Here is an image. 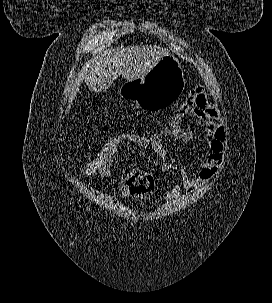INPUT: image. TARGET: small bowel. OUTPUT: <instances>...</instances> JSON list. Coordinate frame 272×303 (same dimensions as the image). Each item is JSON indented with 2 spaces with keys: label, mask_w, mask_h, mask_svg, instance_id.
Masks as SVG:
<instances>
[{
  "label": "small bowel",
  "mask_w": 272,
  "mask_h": 303,
  "mask_svg": "<svg viewBox=\"0 0 272 303\" xmlns=\"http://www.w3.org/2000/svg\"><path fill=\"white\" fill-rule=\"evenodd\" d=\"M186 115L195 118L197 124L204 130V156L203 160L192 172H188L183 168H176L180 181H175L171 190L165 195V199L168 201L175 200L182 188L187 192H192L213 178L225 156L226 129L222 124L217 108L210 103L202 88L192 90L171 119L174 128L170 136L185 143L193 138V132L183 128L181 125V120ZM135 146L155 154L161 160L160 169L162 171L174 168L168 160V150L162 141L149 142L142 139ZM140 174L141 171L139 170L123 174H118L113 170L100 177L115 179L120 191L125 195H131L139 181Z\"/></svg>",
  "instance_id": "small-bowel-1"
}]
</instances>
